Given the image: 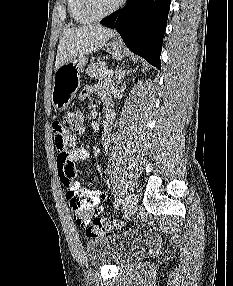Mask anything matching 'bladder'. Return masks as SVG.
Masks as SVG:
<instances>
[{
    "instance_id": "1",
    "label": "bladder",
    "mask_w": 233,
    "mask_h": 286,
    "mask_svg": "<svg viewBox=\"0 0 233 286\" xmlns=\"http://www.w3.org/2000/svg\"><path fill=\"white\" fill-rule=\"evenodd\" d=\"M137 246L138 236L135 233L105 235L90 239L85 252L92 266L107 264L120 266L135 254Z\"/></svg>"
}]
</instances>
